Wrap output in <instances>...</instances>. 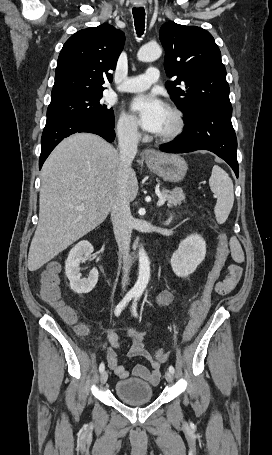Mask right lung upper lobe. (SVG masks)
<instances>
[{"instance_id": "right-lung-upper-lobe-1", "label": "right lung upper lobe", "mask_w": 272, "mask_h": 455, "mask_svg": "<svg viewBox=\"0 0 272 455\" xmlns=\"http://www.w3.org/2000/svg\"><path fill=\"white\" fill-rule=\"evenodd\" d=\"M125 42L124 33L109 24L80 30L64 44L58 58L51 101L103 94L112 82Z\"/></svg>"}]
</instances>
